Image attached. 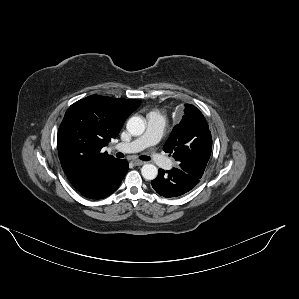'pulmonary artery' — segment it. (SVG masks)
<instances>
[{
  "mask_svg": "<svg viewBox=\"0 0 299 299\" xmlns=\"http://www.w3.org/2000/svg\"><path fill=\"white\" fill-rule=\"evenodd\" d=\"M165 126V116L157 111L151 112L147 116V128L144 134L137 137L131 142L118 143L114 146V149L126 153H134L139 152L147 147L154 146L160 141ZM152 157L155 163L161 167L168 169L172 165L171 160L168 158L157 154L152 155Z\"/></svg>",
  "mask_w": 299,
  "mask_h": 299,
  "instance_id": "obj_1",
  "label": "pulmonary artery"
}]
</instances>
